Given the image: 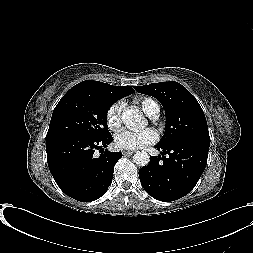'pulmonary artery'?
I'll use <instances>...</instances> for the list:
<instances>
[{
  "instance_id": "e3ab8cb5",
  "label": "pulmonary artery",
  "mask_w": 253,
  "mask_h": 253,
  "mask_svg": "<svg viewBox=\"0 0 253 253\" xmlns=\"http://www.w3.org/2000/svg\"><path fill=\"white\" fill-rule=\"evenodd\" d=\"M159 112V111H158ZM158 112H156L152 117H156L157 116V114H158Z\"/></svg>"
}]
</instances>
